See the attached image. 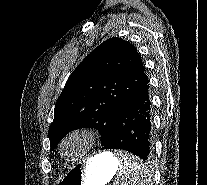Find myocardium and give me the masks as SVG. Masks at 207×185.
<instances>
[{"label":"myocardium","mask_w":207,"mask_h":185,"mask_svg":"<svg viewBox=\"0 0 207 185\" xmlns=\"http://www.w3.org/2000/svg\"><path fill=\"white\" fill-rule=\"evenodd\" d=\"M75 137H82L84 138L86 144L85 147L74 157L72 158H66L63 153V147L65 143ZM99 140V136L96 133V131L90 127L87 126H81L72 129L70 132H68L63 139L60 141L58 146V152L60 157L65 160L66 162H77L79 160H82L93 153L97 143Z\"/></svg>","instance_id":"obj_1"}]
</instances>
